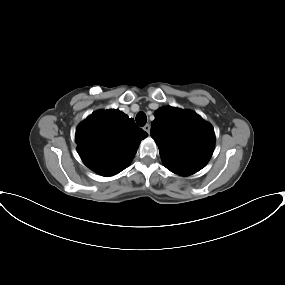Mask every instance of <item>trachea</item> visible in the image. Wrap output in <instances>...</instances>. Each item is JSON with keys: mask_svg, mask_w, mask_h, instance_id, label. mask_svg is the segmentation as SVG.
<instances>
[{"mask_svg": "<svg viewBox=\"0 0 285 285\" xmlns=\"http://www.w3.org/2000/svg\"><path fill=\"white\" fill-rule=\"evenodd\" d=\"M136 122L139 126H144L147 122V116L144 112H139L136 115Z\"/></svg>", "mask_w": 285, "mask_h": 285, "instance_id": "trachea-1", "label": "trachea"}]
</instances>
